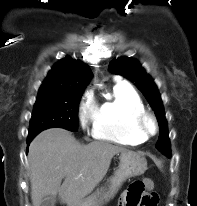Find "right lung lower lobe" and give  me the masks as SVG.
I'll list each match as a JSON object with an SVG mask.
<instances>
[{
  "label": "right lung lower lobe",
  "instance_id": "98d812e1",
  "mask_svg": "<svg viewBox=\"0 0 197 206\" xmlns=\"http://www.w3.org/2000/svg\"><path fill=\"white\" fill-rule=\"evenodd\" d=\"M32 139H33V138H28V139H27V144H28V145L30 144V142L32 141Z\"/></svg>",
  "mask_w": 197,
  "mask_h": 206
}]
</instances>
